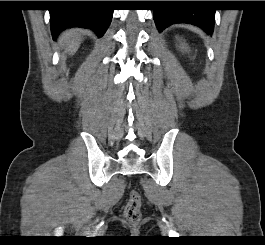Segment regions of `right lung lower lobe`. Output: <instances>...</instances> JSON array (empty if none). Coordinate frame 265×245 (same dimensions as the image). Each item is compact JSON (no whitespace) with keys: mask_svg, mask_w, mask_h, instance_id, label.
<instances>
[{"mask_svg":"<svg viewBox=\"0 0 265 245\" xmlns=\"http://www.w3.org/2000/svg\"><path fill=\"white\" fill-rule=\"evenodd\" d=\"M70 7L50 10L53 39L66 28L92 29L98 37L106 32L113 16L108 1H69Z\"/></svg>","mask_w":265,"mask_h":245,"instance_id":"right-lung-lower-lobe-1","label":"right lung lower lobe"}]
</instances>
